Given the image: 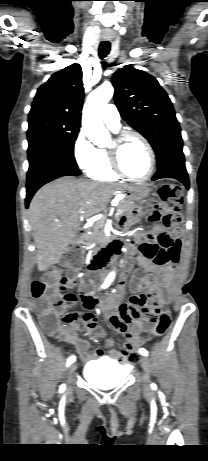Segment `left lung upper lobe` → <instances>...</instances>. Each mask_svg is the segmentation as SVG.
<instances>
[{"label":"left lung upper lobe","instance_id":"obj_1","mask_svg":"<svg viewBox=\"0 0 208 461\" xmlns=\"http://www.w3.org/2000/svg\"><path fill=\"white\" fill-rule=\"evenodd\" d=\"M115 103L124 120L152 145L158 167L183 155V140L173 105L158 81L133 67H124L111 78Z\"/></svg>","mask_w":208,"mask_h":461}]
</instances>
